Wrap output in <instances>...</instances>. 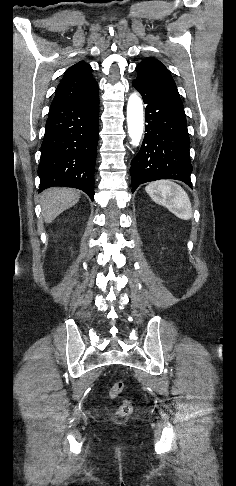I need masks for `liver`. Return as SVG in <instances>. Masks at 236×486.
I'll list each match as a JSON object with an SVG mask.
<instances>
[{"mask_svg": "<svg viewBox=\"0 0 236 486\" xmlns=\"http://www.w3.org/2000/svg\"><path fill=\"white\" fill-rule=\"evenodd\" d=\"M80 193L68 188H50L41 195L42 215L46 223H51L66 209L75 205Z\"/></svg>", "mask_w": 236, "mask_h": 486, "instance_id": "obj_1", "label": "liver"}]
</instances>
